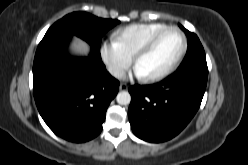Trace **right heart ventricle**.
<instances>
[{"label": "right heart ventricle", "mask_w": 248, "mask_h": 165, "mask_svg": "<svg viewBox=\"0 0 248 165\" xmlns=\"http://www.w3.org/2000/svg\"><path fill=\"white\" fill-rule=\"evenodd\" d=\"M164 23H136L125 26L114 33V40L131 57L157 31L165 28Z\"/></svg>", "instance_id": "e07e8e85"}]
</instances>
